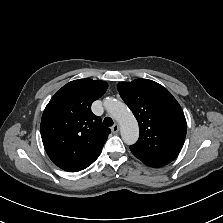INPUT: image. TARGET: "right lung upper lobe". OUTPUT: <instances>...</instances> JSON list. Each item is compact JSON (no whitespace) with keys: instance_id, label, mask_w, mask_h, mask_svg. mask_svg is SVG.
<instances>
[{"instance_id":"right-lung-upper-lobe-1","label":"right lung upper lobe","mask_w":223,"mask_h":223,"mask_svg":"<svg viewBox=\"0 0 223 223\" xmlns=\"http://www.w3.org/2000/svg\"><path fill=\"white\" fill-rule=\"evenodd\" d=\"M107 88L104 81L74 80L47 104L41 119V137L48 156L61 169L83 170L100 155L111 131L91 112V104Z\"/></svg>"}]
</instances>
